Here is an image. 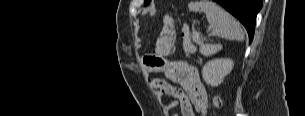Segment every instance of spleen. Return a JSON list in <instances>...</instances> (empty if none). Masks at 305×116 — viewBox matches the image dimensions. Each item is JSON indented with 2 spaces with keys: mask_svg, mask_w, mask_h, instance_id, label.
Here are the masks:
<instances>
[{
  "mask_svg": "<svg viewBox=\"0 0 305 116\" xmlns=\"http://www.w3.org/2000/svg\"><path fill=\"white\" fill-rule=\"evenodd\" d=\"M190 11L204 12L210 24L211 34L229 40H243L244 32L240 24L227 11L208 0L190 2Z\"/></svg>",
  "mask_w": 305,
  "mask_h": 116,
  "instance_id": "obj_1",
  "label": "spleen"
}]
</instances>
